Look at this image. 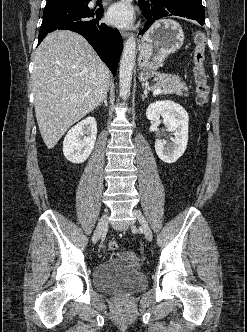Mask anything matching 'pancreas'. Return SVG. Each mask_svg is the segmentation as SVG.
<instances>
[{
	"label": "pancreas",
	"instance_id": "cf45deb5",
	"mask_svg": "<svg viewBox=\"0 0 247 332\" xmlns=\"http://www.w3.org/2000/svg\"><path fill=\"white\" fill-rule=\"evenodd\" d=\"M152 88H161L163 95L176 94L179 96L183 95V92L188 90L186 84L180 81L179 76L168 74L159 75L156 84Z\"/></svg>",
	"mask_w": 247,
	"mask_h": 332
}]
</instances>
